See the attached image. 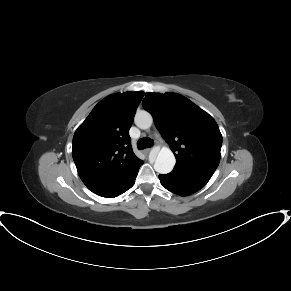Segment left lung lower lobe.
Segmentation results:
<instances>
[{
    "mask_svg": "<svg viewBox=\"0 0 291 291\" xmlns=\"http://www.w3.org/2000/svg\"><path fill=\"white\" fill-rule=\"evenodd\" d=\"M159 179L162 186L167 190L186 196L204 187L210 177L173 170L166 175H159Z\"/></svg>",
    "mask_w": 291,
    "mask_h": 291,
    "instance_id": "obj_1",
    "label": "left lung lower lobe"
}]
</instances>
